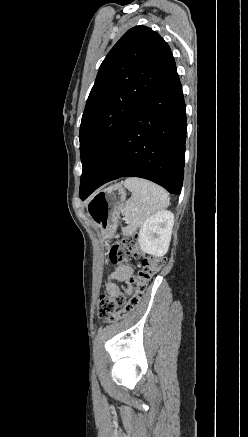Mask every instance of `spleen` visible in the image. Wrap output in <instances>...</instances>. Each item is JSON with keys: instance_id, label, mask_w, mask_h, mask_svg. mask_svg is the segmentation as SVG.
I'll list each match as a JSON object with an SVG mask.
<instances>
[{"instance_id": "1", "label": "spleen", "mask_w": 248, "mask_h": 437, "mask_svg": "<svg viewBox=\"0 0 248 437\" xmlns=\"http://www.w3.org/2000/svg\"><path fill=\"white\" fill-rule=\"evenodd\" d=\"M124 186L132 193L122 212L127 226L121 229L127 236L142 227L152 215L167 208L170 199L164 188L141 178H127Z\"/></svg>"}]
</instances>
